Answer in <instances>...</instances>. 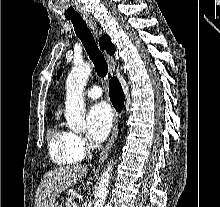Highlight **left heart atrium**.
Segmentation results:
<instances>
[{
    "label": "left heart atrium",
    "mask_w": 220,
    "mask_h": 207,
    "mask_svg": "<svg viewBox=\"0 0 220 207\" xmlns=\"http://www.w3.org/2000/svg\"><path fill=\"white\" fill-rule=\"evenodd\" d=\"M113 122V113L108 103L94 104L87 114L88 136L96 141H103L109 134Z\"/></svg>",
    "instance_id": "1"
}]
</instances>
